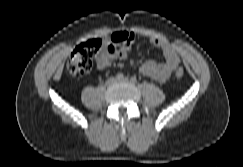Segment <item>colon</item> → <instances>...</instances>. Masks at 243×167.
<instances>
[{"label": "colon", "instance_id": "obj_1", "mask_svg": "<svg viewBox=\"0 0 243 167\" xmlns=\"http://www.w3.org/2000/svg\"><path fill=\"white\" fill-rule=\"evenodd\" d=\"M103 45L104 39L102 38H93L78 45L67 63V73L74 77L86 75L92 67L94 57L102 49ZM175 75L177 78L183 77V69L178 68Z\"/></svg>", "mask_w": 243, "mask_h": 167}]
</instances>
